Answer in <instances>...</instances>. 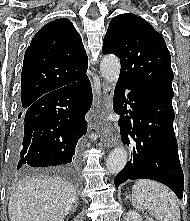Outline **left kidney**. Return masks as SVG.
<instances>
[{"label": "left kidney", "mask_w": 190, "mask_h": 221, "mask_svg": "<svg viewBox=\"0 0 190 221\" xmlns=\"http://www.w3.org/2000/svg\"><path fill=\"white\" fill-rule=\"evenodd\" d=\"M148 221H154L152 218L147 217ZM126 221H141L140 215L135 211H129L126 215Z\"/></svg>", "instance_id": "left-kidney-1"}]
</instances>
